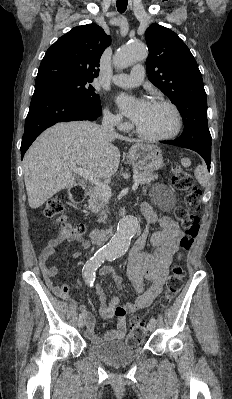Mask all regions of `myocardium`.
<instances>
[{
	"label": "myocardium",
	"instance_id": "f54148a6",
	"mask_svg": "<svg viewBox=\"0 0 232 399\" xmlns=\"http://www.w3.org/2000/svg\"><path fill=\"white\" fill-rule=\"evenodd\" d=\"M150 104L166 105L172 109L174 116H175L174 129L166 135L154 137V136H148V135L144 134L143 132H141L135 124L133 127L134 133L141 140L146 141V142H152V143L164 142V141H168V140L175 138L180 133V131L182 129V115H181V112H180V109L178 108V106L176 104H174L173 102L164 100V99H153L150 101Z\"/></svg>",
	"mask_w": 232,
	"mask_h": 399
}]
</instances>
